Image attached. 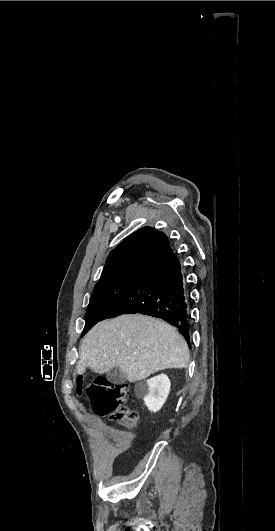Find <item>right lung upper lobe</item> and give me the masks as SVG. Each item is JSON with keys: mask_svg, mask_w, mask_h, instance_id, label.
Wrapping results in <instances>:
<instances>
[{"mask_svg": "<svg viewBox=\"0 0 275 531\" xmlns=\"http://www.w3.org/2000/svg\"><path fill=\"white\" fill-rule=\"evenodd\" d=\"M168 247L169 241L164 233L143 227L110 252L101 278L129 268H146Z\"/></svg>", "mask_w": 275, "mask_h": 531, "instance_id": "1", "label": "right lung upper lobe"}]
</instances>
